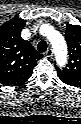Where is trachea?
Listing matches in <instances>:
<instances>
[{"mask_svg":"<svg viewBox=\"0 0 81 124\" xmlns=\"http://www.w3.org/2000/svg\"><path fill=\"white\" fill-rule=\"evenodd\" d=\"M37 49L40 53H43L47 50V43L45 41H40L38 43Z\"/></svg>","mask_w":81,"mask_h":124,"instance_id":"trachea-1","label":"trachea"}]
</instances>
